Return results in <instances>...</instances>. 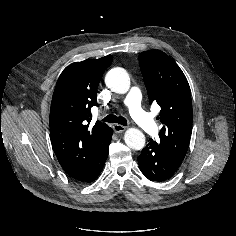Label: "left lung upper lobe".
I'll return each mask as SVG.
<instances>
[{"mask_svg": "<svg viewBox=\"0 0 236 236\" xmlns=\"http://www.w3.org/2000/svg\"><path fill=\"white\" fill-rule=\"evenodd\" d=\"M139 64L150 103L156 102L161 107L157 119L163 127L159 133L160 141L154 142L183 161L192 131V100L188 81L179 66L160 50L140 53Z\"/></svg>", "mask_w": 236, "mask_h": 236, "instance_id": "1", "label": "left lung upper lobe"}]
</instances>
